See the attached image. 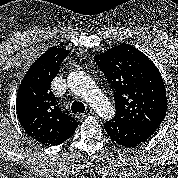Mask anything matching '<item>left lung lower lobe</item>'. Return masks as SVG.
I'll return each instance as SVG.
<instances>
[{
    "instance_id": "left-lung-lower-lobe-1",
    "label": "left lung lower lobe",
    "mask_w": 178,
    "mask_h": 178,
    "mask_svg": "<svg viewBox=\"0 0 178 178\" xmlns=\"http://www.w3.org/2000/svg\"><path fill=\"white\" fill-rule=\"evenodd\" d=\"M107 134L112 140L125 147H135L153 135L157 126L112 119L104 124Z\"/></svg>"
}]
</instances>
